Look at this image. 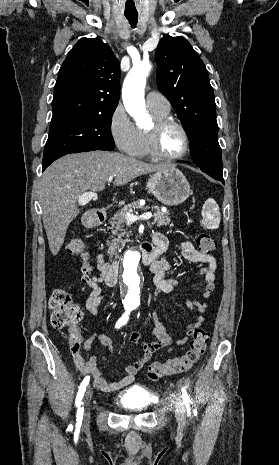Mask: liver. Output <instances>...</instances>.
Returning <instances> with one entry per match:
<instances>
[{"instance_id":"liver-1","label":"liver","mask_w":279,"mask_h":465,"mask_svg":"<svg viewBox=\"0 0 279 465\" xmlns=\"http://www.w3.org/2000/svg\"><path fill=\"white\" fill-rule=\"evenodd\" d=\"M168 168L134 157L108 151L69 154L53 162L42 174L39 202L43 225L51 253L60 251L69 224L79 215L77 203L88 190L100 192L110 176L114 185L122 186L132 179Z\"/></svg>"}]
</instances>
